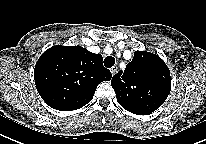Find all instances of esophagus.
<instances>
[{
  "label": "esophagus",
  "instance_id": "34e87169",
  "mask_svg": "<svg viewBox=\"0 0 206 144\" xmlns=\"http://www.w3.org/2000/svg\"><path fill=\"white\" fill-rule=\"evenodd\" d=\"M118 67L117 66H113L110 71L112 73V75H115L117 73Z\"/></svg>",
  "mask_w": 206,
  "mask_h": 144
}]
</instances>
